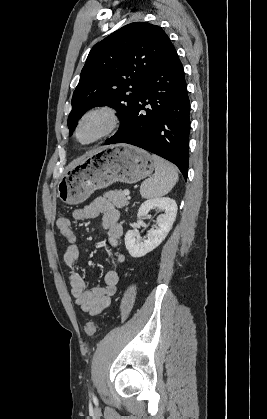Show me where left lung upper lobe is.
<instances>
[{"label":"left lung upper lobe","mask_w":267,"mask_h":419,"mask_svg":"<svg viewBox=\"0 0 267 419\" xmlns=\"http://www.w3.org/2000/svg\"><path fill=\"white\" fill-rule=\"evenodd\" d=\"M170 44L159 26L134 22L94 45L73 93L68 117L70 134L78 120L95 106L112 107L120 122L125 121Z\"/></svg>","instance_id":"obj_1"}]
</instances>
